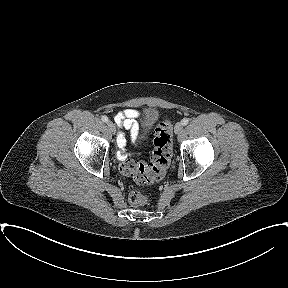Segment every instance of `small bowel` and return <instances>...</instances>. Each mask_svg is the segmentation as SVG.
Segmentation results:
<instances>
[{
  "mask_svg": "<svg viewBox=\"0 0 288 288\" xmlns=\"http://www.w3.org/2000/svg\"><path fill=\"white\" fill-rule=\"evenodd\" d=\"M141 116L140 111L133 108L125 109L114 117L115 123L122 130H129L130 139L133 144L136 143L138 133H139V125L137 119ZM117 143L119 147L122 149L117 153V157L122 160L126 158V153L123 148L126 145V138L123 133H120L117 138Z\"/></svg>",
  "mask_w": 288,
  "mask_h": 288,
  "instance_id": "c3829d8e",
  "label": "small bowel"
}]
</instances>
